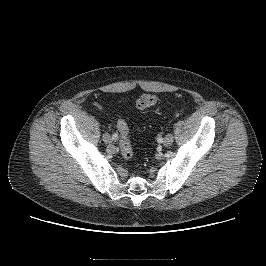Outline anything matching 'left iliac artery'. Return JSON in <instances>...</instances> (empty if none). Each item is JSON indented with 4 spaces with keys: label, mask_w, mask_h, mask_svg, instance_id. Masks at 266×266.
Here are the masks:
<instances>
[{
    "label": "left iliac artery",
    "mask_w": 266,
    "mask_h": 266,
    "mask_svg": "<svg viewBox=\"0 0 266 266\" xmlns=\"http://www.w3.org/2000/svg\"><path fill=\"white\" fill-rule=\"evenodd\" d=\"M156 142H157L158 144H161V143L163 142V139H162L161 137H158V138L156 139Z\"/></svg>",
    "instance_id": "1"
}]
</instances>
